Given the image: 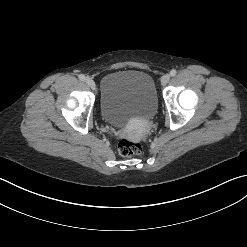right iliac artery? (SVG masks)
Masks as SVG:
<instances>
[{
	"label": "right iliac artery",
	"mask_w": 247,
	"mask_h": 247,
	"mask_svg": "<svg viewBox=\"0 0 247 247\" xmlns=\"http://www.w3.org/2000/svg\"><path fill=\"white\" fill-rule=\"evenodd\" d=\"M78 77H79V79L82 80V81H84V80L86 79L85 76H84L83 74H79Z\"/></svg>",
	"instance_id": "1"
}]
</instances>
